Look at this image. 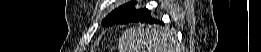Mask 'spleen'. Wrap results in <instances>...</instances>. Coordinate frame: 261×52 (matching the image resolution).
Wrapping results in <instances>:
<instances>
[{
	"mask_svg": "<svg viewBox=\"0 0 261 52\" xmlns=\"http://www.w3.org/2000/svg\"><path fill=\"white\" fill-rule=\"evenodd\" d=\"M125 35H131L133 48L142 52H167L169 44L164 33L159 29H136L131 28L125 32Z\"/></svg>",
	"mask_w": 261,
	"mask_h": 52,
	"instance_id": "spleen-1",
	"label": "spleen"
}]
</instances>
